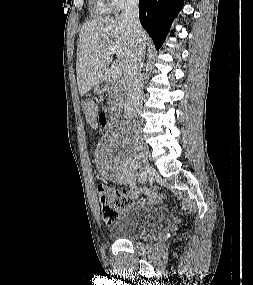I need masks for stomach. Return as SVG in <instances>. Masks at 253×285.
Masks as SVG:
<instances>
[{
  "label": "stomach",
  "mask_w": 253,
  "mask_h": 285,
  "mask_svg": "<svg viewBox=\"0 0 253 285\" xmlns=\"http://www.w3.org/2000/svg\"><path fill=\"white\" fill-rule=\"evenodd\" d=\"M94 92L95 93H97V94H101L102 92H103V87H102V85L101 84H97V85H95V87H94Z\"/></svg>",
  "instance_id": "obj_1"
}]
</instances>
